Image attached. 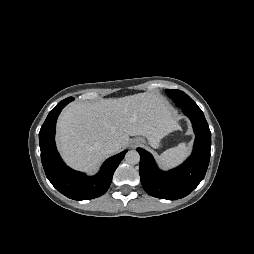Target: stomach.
Masks as SVG:
<instances>
[{
  "instance_id": "1",
  "label": "stomach",
  "mask_w": 254,
  "mask_h": 254,
  "mask_svg": "<svg viewBox=\"0 0 254 254\" xmlns=\"http://www.w3.org/2000/svg\"><path fill=\"white\" fill-rule=\"evenodd\" d=\"M142 142H144V140H142ZM148 144H150L153 148H158L160 146V142L153 143L148 141Z\"/></svg>"
}]
</instances>
